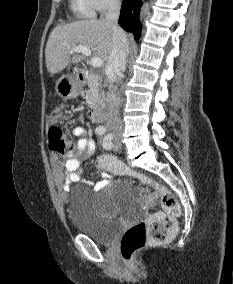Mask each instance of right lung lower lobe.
Returning a JSON list of instances; mask_svg holds the SVG:
<instances>
[{"instance_id":"obj_1","label":"right lung lower lobe","mask_w":233,"mask_h":284,"mask_svg":"<svg viewBox=\"0 0 233 284\" xmlns=\"http://www.w3.org/2000/svg\"><path fill=\"white\" fill-rule=\"evenodd\" d=\"M141 5V0H124L118 21L121 27L134 34L135 39L139 38L141 32V23L139 21Z\"/></svg>"}]
</instances>
